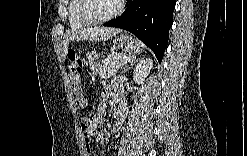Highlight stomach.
<instances>
[{"instance_id":"obj_1","label":"stomach","mask_w":247,"mask_h":156,"mask_svg":"<svg viewBox=\"0 0 247 156\" xmlns=\"http://www.w3.org/2000/svg\"><path fill=\"white\" fill-rule=\"evenodd\" d=\"M115 43L129 55H135L141 51V45L138 40L127 33L118 35L115 38ZM86 57L90 69L97 72L102 66L103 57L96 52H88Z\"/></svg>"}]
</instances>
